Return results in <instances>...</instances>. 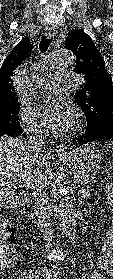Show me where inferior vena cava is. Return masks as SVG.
Instances as JSON below:
<instances>
[{"mask_svg":"<svg viewBox=\"0 0 113 279\" xmlns=\"http://www.w3.org/2000/svg\"><path fill=\"white\" fill-rule=\"evenodd\" d=\"M43 144L44 138L40 129L36 126H32L28 131V148L38 156L42 151ZM32 188L35 198L38 226L41 230L43 240L46 243V248L50 250L53 238V228L50 220L52 213L47 192V176L42 171L36 173Z\"/></svg>","mask_w":113,"mask_h":279,"instance_id":"obj_1","label":"inferior vena cava"}]
</instances>
